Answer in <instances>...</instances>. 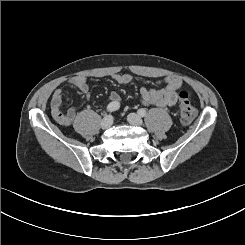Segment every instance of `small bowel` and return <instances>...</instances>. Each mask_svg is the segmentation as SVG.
<instances>
[{
	"label": "small bowel",
	"mask_w": 245,
	"mask_h": 245,
	"mask_svg": "<svg viewBox=\"0 0 245 245\" xmlns=\"http://www.w3.org/2000/svg\"><path fill=\"white\" fill-rule=\"evenodd\" d=\"M112 78L122 85L131 83L132 76L125 73H116ZM69 84L79 89L85 98H89V87L84 76H74L69 79ZM182 85V80L175 75L164 77V86L160 89H149L145 86L140 88V100L146 106L170 107L176 104L178 100V89ZM64 91L56 89L51 99V114L56 122L63 126H70L75 117L76 111L73 108L66 112L61 110L64 98ZM110 103H119L120 95L116 92L110 94ZM109 103V104H110Z\"/></svg>",
	"instance_id": "c3829d8e"
}]
</instances>
